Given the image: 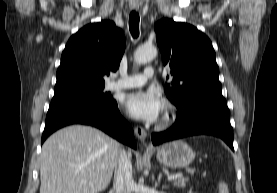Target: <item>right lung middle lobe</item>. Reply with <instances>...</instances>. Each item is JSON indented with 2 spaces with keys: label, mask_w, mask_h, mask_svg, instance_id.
Wrapping results in <instances>:
<instances>
[{
  "label": "right lung middle lobe",
  "mask_w": 277,
  "mask_h": 193,
  "mask_svg": "<svg viewBox=\"0 0 277 193\" xmlns=\"http://www.w3.org/2000/svg\"><path fill=\"white\" fill-rule=\"evenodd\" d=\"M104 86L105 85L76 89V90L67 91L58 95L80 96V97L90 98L102 103H111L114 100L109 92L108 93L103 92Z\"/></svg>",
  "instance_id": "obj_1"
}]
</instances>
